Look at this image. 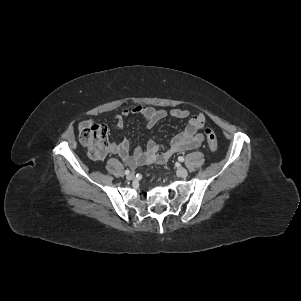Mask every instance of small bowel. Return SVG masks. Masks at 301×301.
<instances>
[{
    "instance_id": "1",
    "label": "small bowel",
    "mask_w": 301,
    "mask_h": 301,
    "mask_svg": "<svg viewBox=\"0 0 301 301\" xmlns=\"http://www.w3.org/2000/svg\"><path fill=\"white\" fill-rule=\"evenodd\" d=\"M130 114L141 115L149 128L155 126L168 116L176 119L188 118V123L184 131L174 136L166 147H161L153 140H149L144 148L139 147L132 152L130 143L126 138L118 143L109 144L106 154L119 156L129 167L134 168L144 164L165 163L174 154L196 149L204 141V135L200 130L204 128L206 119L202 113L190 115L188 110L183 109H172L167 112L163 109H157L151 106L136 105L132 108H125L120 114L114 115L113 121L116 126L123 128L124 118ZM89 121L90 120L83 121L80 127Z\"/></svg>"
}]
</instances>
